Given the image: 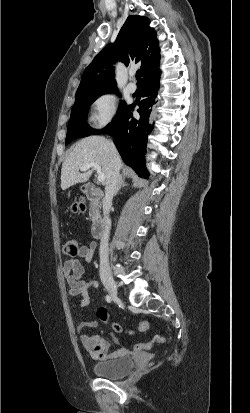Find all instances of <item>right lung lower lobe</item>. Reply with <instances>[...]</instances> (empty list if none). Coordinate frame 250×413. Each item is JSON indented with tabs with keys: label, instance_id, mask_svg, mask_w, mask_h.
Instances as JSON below:
<instances>
[{
	"label": "right lung lower lobe",
	"instance_id": "right-lung-lower-lobe-1",
	"mask_svg": "<svg viewBox=\"0 0 250 413\" xmlns=\"http://www.w3.org/2000/svg\"><path fill=\"white\" fill-rule=\"evenodd\" d=\"M160 70L142 79L144 99L138 103L139 118L132 116L133 105L126 106L103 129L93 134H109L126 165L135 170L139 176L148 178L149 173L144 164L147 136L152 130V111L159 89Z\"/></svg>",
	"mask_w": 250,
	"mask_h": 413
}]
</instances>
